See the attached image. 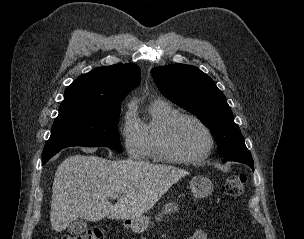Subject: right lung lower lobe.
<instances>
[{"instance_id":"right-lung-lower-lobe-1","label":"right lung lower lobe","mask_w":304,"mask_h":239,"mask_svg":"<svg viewBox=\"0 0 304 239\" xmlns=\"http://www.w3.org/2000/svg\"><path fill=\"white\" fill-rule=\"evenodd\" d=\"M60 150L61 149L43 151V153H42V165H44L52 156H54Z\"/></svg>"}]
</instances>
